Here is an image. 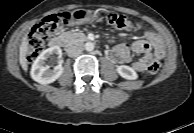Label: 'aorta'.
Returning <instances> with one entry per match:
<instances>
[{
	"label": "aorta",
	"mask_w": 194,
	"mask_h": 133,
	"mask_svg": "<svg viewBox=\"0 0 194 133\" xmlns=\"http://www.w3.org/2000/svg\"><path fill=\"white\" fill-rule=\"evenodd\" d=\"M85 49H86L87 51H93V50H94V43H92V42H87V43L85 44Z\"/></svg>",
	"instance_id": "762f6f07"
}]
</instances>
